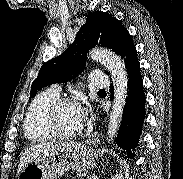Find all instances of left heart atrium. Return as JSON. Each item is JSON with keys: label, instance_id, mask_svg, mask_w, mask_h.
<instances>
[{"label": "left heart atrium", "instance_id": "obj_1", "mask_svg": "<svg viewBox=\"0 0 183 179\" xmlns=\"http://www.w3.org/2000/svg\"><path fill=\"white\" fill-rule=\"evenodd\" d=\"M82 113H83V120L85 121L86 118H87V114H86V112L83 109H82Z\"/></svg>", "mask_w": 183, "mask_h": 179}]
</instances>
